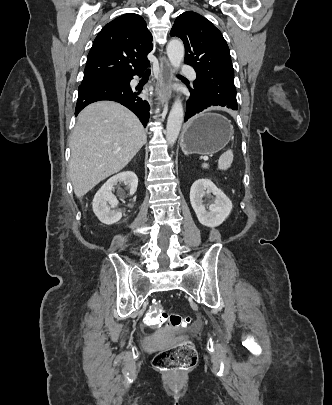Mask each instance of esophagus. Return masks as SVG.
Here are the masks:
<instances>
[{
    "label": "esophagus",
    "instance_id": "esophagus-1",
    "mask_svg": "<svg viewBox=\"0 0 332 405\" xmlns=\"http://www.w3.org/2000/svg\"><path fill=\"white\" fill-rule=\"evenodd\" d=\"M173 71L169 62L161 59V74L158 82L159 100L162 103L165 96L170 98L172 91Z\"/></svg>",
    "mask_w": 332,
    "mask_h": 405
}]
</instances>
